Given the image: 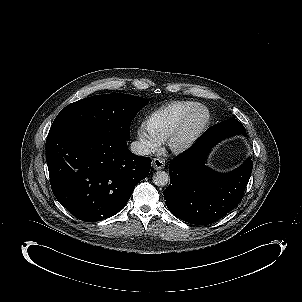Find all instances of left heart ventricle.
<instances>
[{"label": "left heart ventricle", "instance_id": "b2bd125f", "mask_svg": "<svg viewBox=\"0 0 302 302\" xmlns=\"http://www.w3.org/2000/svg\"><path fill=\"white\" fill-rule=\"evenodd\" d=\"M203 118H204V115L202 113H199V114L195 115L193 118H191L185 125L182 132L179 134L177 141H180L184 137L189 135L201 123Z\"/></svg>", "mask_w": 302, "mask_h": 302}]
</instances>
